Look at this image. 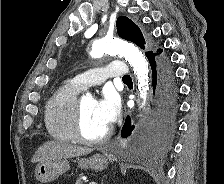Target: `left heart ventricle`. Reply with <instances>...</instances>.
Masks as SVG:
<instances>
[{"label":"left heart ventricle","mask_w":224,"mask_h":184,"mask_svg":"<svg viewBox=\"0 0 224 184\" xmlns=\"http://www.w3.org/2000/svg\"><path fill=\"white\" fill-rule=\"evenodd\" d=\"M82 104V130L83 134L88 138H98L107 130L108 126L103 124L95 112L96 102L91 98H86L81 101Z\"/></svg>","instance_id":"left-heart-ventricle-1"}]
</instances>
